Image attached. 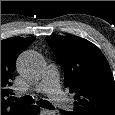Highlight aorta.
Wrapping results in <instances>:
<instances>
[{
	"instance_id": "1",
	"label": "aorta",
	"mask_w": 115,
	"mask_h": 115,
	"mask_svg": "<svg viewBox=\"0 0 115 115\" xmlns=\"http://www.w3.org/2000/svg\"><path fill=\"white\" fill-rule=\"evenodd\" d=\"M43 58L34 51L24 52L18 59L17 68L22 76L30 80H38L44 71ZM55 115L54 112H50Z\"/></svg>"
}]
</instances>
